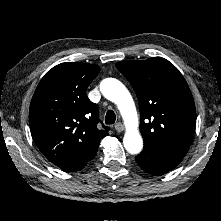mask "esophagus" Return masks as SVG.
<instances>
[{
	"mask_svg": "<svg viewBox=\"0 0 221 221\" xmlns=\"http://www.w3.org/2000/svg\"><path fill=\"white\" fill-rule=\"evenodd\" d=\"M115 130L118 132V133H120V132H122L123 130H124V126H123V124L122 123H116L115 124Z\"/></svg>",
	"mask_w": 221,
	"mask_h": 221,
	"instance_id": "34e87169",
	"label": "esophagus"
}]
</instances>
